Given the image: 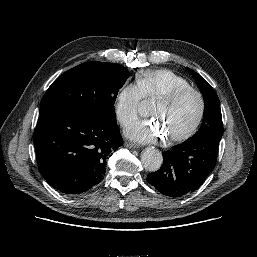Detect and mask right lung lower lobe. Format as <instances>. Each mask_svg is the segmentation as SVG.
Listing matches in <instances>:
<instances>
[{
    "mask_svg": "<svg viewBox=\"0 0 257 257\" xmlns=\"http://www.w3.org/2000/svg\"><path fill=\"white\" fill-rule=\"evenodd\" d=\"M37 164L57 190L78 194L95 186L123 143L115 119L73 108L41 114L33 135Z\"/></svg>",
    "mask_w": 257,
    "mask_h": 257,
    "instance_id": "obj_1",
    "label": "right lung lower lobe"
}]
</instances>
